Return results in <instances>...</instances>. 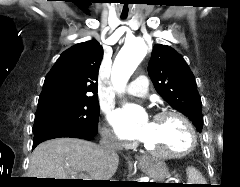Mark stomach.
<instances>
[{
  "instance_id": "stomach-1",
  "label": "stomach",
  "mask_w": 240,
  "mask_h": 187,
  "mask_svg": "<svg viewBox=\"0 0 240 187\" xmlns=\"http://www.w3.org/2000/svg\"><path fill=\"white\" fill-rule=\"evenodd\" d=\"M142 169L154 180L163 181L169 176V170L165 162L155 158H149L141 165Z\"/></svg>"
}]
</instances>
